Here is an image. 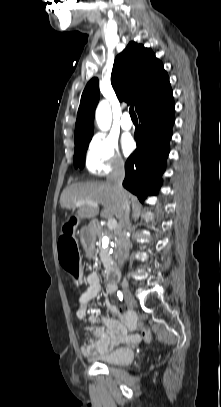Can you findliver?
<instances>
[{
  "mask_svg": "<svg viewBox=\"0 0 221 407\" xmlns=\"http://www.w3.org/2000/svg\"><path fill=\"white\" fill-rule=\"evenodd\" d=\"M127 197L128 193L126 192ZM94 201L103 206L101 216L119 218L120 204L114 194L112 186L108 182H86L76 183L63 190L60 196V205L68 210H75L79 201ZM78 208L75 216L80 219L94 218L98 215L99 209L89 204H83Z\"/></svg>",
  "mask_w": 221,
  "mask_h": 407,
  "instance_id": "liver-1",
  "label": "liver"
}]
</instances>
